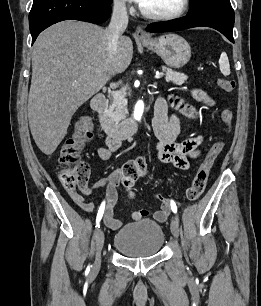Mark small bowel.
Returning a JSON list of instances; mask_svg holds the SVG:
<instances>
[{
  "instance_id": "c3829d8e",
  "label": "small bowel",
  "mask_w": 261,
  "mask_h": 306,
  "mask_svg": "<svg viewBox=\"0 0 261 306\" xmlns=\"http://www.w3.org/2000/svg\"><path fill=\"white\" fill-rule=\"evenodd\" d=\"M191 93L197 101L208 106L215 105V101L206 92L193 89ZM181 111L188 117H196V111L191 106L184 105L181 107ZM152 126L157 139L155 145L157 158L164 163L172 164L176 168L188 170L190 168V160L201 153L200 147L204 137L197 135L177 142L176 139L180 133V119L176 114L168 112L167 102L163 98H158L156 101ZM121 143V139L107 137L106 147L97 148L96 154L102 160H109L112 154L120 149ZM118 177L119 171H115L108 177L97 180L92 187L86 186V188L82 189V193L69 189V195L73 202L82 210L92 213L95 209L94 203L86 200L85 195L90 194L93 189L105 187L107 204L104 206L101 219L112 230H117L122 226V221L116 218L113 213L117 202L116 187L120 182ZM158 199L161 202V206L154 212L153 217L158 222H164L170 214V205L162 195H158ZM146 215L147 212L144 210L134 211L131 214V218L134 221H139Z\"/></svg>"
}]
</instances>
